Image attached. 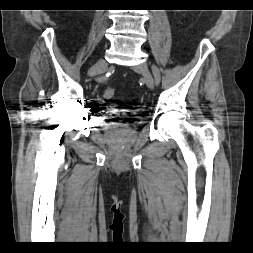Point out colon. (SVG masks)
<instances>
[{"mask_svg":"<svg viewBox=\"0 0 253 253\" xmlns=\"http://www.w3.org/2000/svg\"><path fill=\"white\" fill-rule=\"evenodd\" d=\"M116 94V90L113 87H107L104 91V96L107 99L114 98Z\"/></svg>","mask_w":253,"mask_h":253,"instance_id":"obj_1","label":"colon"}]
</instances>
